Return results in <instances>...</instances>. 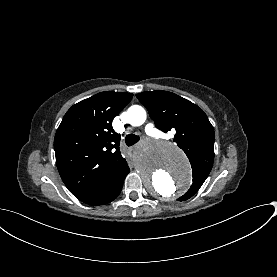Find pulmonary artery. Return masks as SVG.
Segmentation results:
<instances>
[{
	"mask_svg": "<svg viewBox=\"0 0 277 277\" xmlns=\"http://www.w3.org/2000/svg\"><path fill=\"white\" fill-rule=\"evenodd\" d=\"M146 133L148 135H153L155 138H162L165 140H170L173 137V132L171 131H167L166 133H159L157 131V126L155 124H148L146 126Z\"/></svg>",
	"mask_w": 277,
	"mask_h": 277,
	"instance_id": "obj_1",
	"label": "pulmonary artery"
}]
</instances>
